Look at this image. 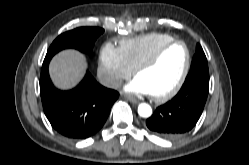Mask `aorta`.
I'll return each instance as SVG.
<instances>
[{
	"instance_id": "aorta-1",
	"label": "aorta",
	"mask_w": 249,
	"mask_h": 165,
	"mask_svg": "<svg viewBox=\"0 0 249 165\" xmlns=\"http://www.w3.org/2000/svg\"><path fill=\"white\" fill-rule=\"evenodd\" d=\"M138 114L141 117L147 118L152 115V108L149 104L147 103H141L138 106Z\"/></svg>"
}]
</instances>
